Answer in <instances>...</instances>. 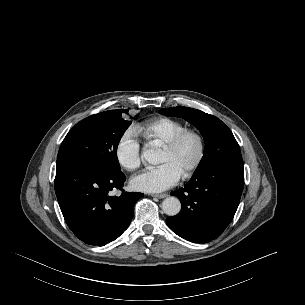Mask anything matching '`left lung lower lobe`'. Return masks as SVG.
<instances>
[{"label":"left lung lower lobe","mask_w":305,"mask_h":305,"mask_svg":"<svg viewBox=\"0 0 305 305\" xmlns=\"http://www.w3.org/2000/svg\"><path fill=\"white\" fill-rule=\"evenodd\" d=\"M243 185L241 156L193 174L184 188L171 193L182 205L179 214L166 219L168 227L191 242L206 243L216 239L233 219Z\"/></svg>","instance_id":"left-lung-lower-lobe-1"}]
</instances>
